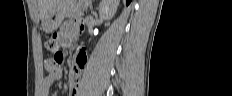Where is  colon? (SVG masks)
Listing matches in <instances>:
<instances>
[{"mask_svg": "<svg viewBox=\"0 0 232 96\" xmlns=\"http://www.w3.org/2000/svg\"><path fill=\"white\" fill-rule=\"evenodd\" d=\"M48 48L54 53V58L49 61L48 68L51 72H56L59 70L63 61V54L57 41V35H53L50 39L48 42Z\"/></svg>", "mask_w": 232, "mask_h": 96, "instance_id": "colon-1", "label": "colon"}]
</instances>
